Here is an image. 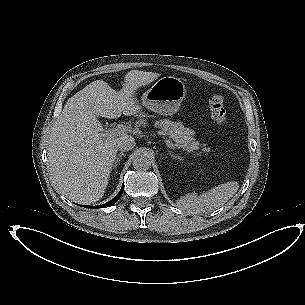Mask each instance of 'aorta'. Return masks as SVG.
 <instances>
[{
  "instance_id": "aorta-1",
  "label": "aorta",
  "mask_w": 305,
  "mask_h": 305,
  "mask_svg": "<svg viewBox=\"0 0 305 305\" xmlns=\"http://www.w3.org/2000/svg\"><path fill=\"white\" fill-rule=\"evenodd\" d=\"M152 155L149 151L141 150L133 158V167L136 170H147L151 167Z\"/></svg>"
}]
</instances>
